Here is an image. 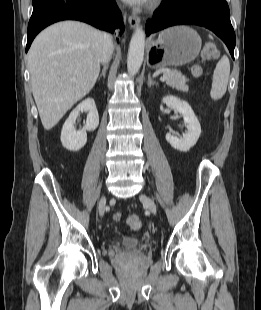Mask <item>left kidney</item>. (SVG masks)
<instances>
[{
    "mask_svg": "<svg viewBox=\"0 0 261 310\" xmlns=\"http://www.w3.org/2000/svg\"><path fill=\"white\" fill-rule=\"evenodd\" d=\"M162 101L169 108L173 109L174 112L182 115L185 123L187 124V132L182 138H178L171 133H167L166 140L176 150L181 152L189 151L190 148L196 144L201 134V126L197 117L195 116L190 105L176 96H166L162 99Z\"/></svg>",
    "mask_w": 261,
    "mask_h": 310,
    "instance_id": "5707ae66",
    "label": "left kidney"
}]
</instances>
